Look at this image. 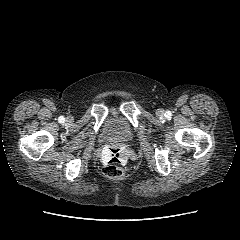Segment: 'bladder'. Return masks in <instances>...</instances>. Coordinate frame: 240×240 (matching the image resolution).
Masks as SVG:
<instances>
[{
    "instance_id": "31cf9c89",
    "label": "bladder",
    "mask_w": 240,
    "mask_h": 240,
    "mask_svg": "<svg viewBox=\"0 0 240 240\" xmlns=\"http://www.w3.org/2000/svg\"><path fill=\"white\" fill-rule=\"evenodd\" d=\"M134 136L128 120L120 114L110 115L103 124L102 138L106 141L128 142Z\"/></svg>"
}]
</instances>
